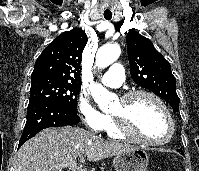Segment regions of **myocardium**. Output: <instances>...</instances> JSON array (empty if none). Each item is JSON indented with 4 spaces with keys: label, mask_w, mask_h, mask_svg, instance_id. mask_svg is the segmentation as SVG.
I'll return each mask as SVG.
<instances>
[{
    "label": "myocardium",
    "mask_w": 199,
    "mask_h": 171,
    "mask_svg": "<svg viewBox=\"0 0 199 171\" xmlns=\"http://www.w3.org/2000/svg\"><path fill=\"white\" fill-rule=\"evenodd\" d=\"M138 96H146L151 98L163 109L169 124V135L165 140L157 141L149 139L139 134L132 126L128 115V105L130 101ZM120 101L123 104V108L118 113H112V118L114 120L116 128L121 134L137 142H141L151 146H163L172 141L175 135V121L169 107L159 95L147 89H134L124 93L121 96Z\"/></svg>",
    "instance_id": "obj_1"
}]
</instances>
